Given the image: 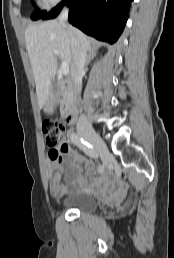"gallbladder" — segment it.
<instances>
[{
  "mask_svg": "<svg viewBox=\"0 0 174 258\" xmlns=\"http://www.w3.org/2000/svg\"><path fill=\"white\" fill-rule=\"evenodd\" d=\"M59 92V88L58 87H54L53 89V99L51 100V103L49 104V108L51 109V112H53V105H54V101H55V97Z\"/></svg>",
  "mask_w": 174,
  "mask_h": 258,
  "instance_id": "gallbladder-1",
  "label": "gallbladder"
}]
</instances>
